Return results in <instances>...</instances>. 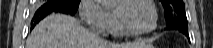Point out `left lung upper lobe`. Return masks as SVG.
<instances>
[{"label":"left lung upper lobe","instance_id":"left-lung-upper-lobe-1","mask_svg":"<svg viewBox=\"0 0 213 48\" xmlns=\"http://www.w3.org/2000/svg\"><path fill=\"white\" fill-rule=\"evenodd\" d=\"M165 10L167 23H178L187 26L185 5L182 0H160Z\"/></svg>","mask_w":213,"mask_h":48}]
</instances>
